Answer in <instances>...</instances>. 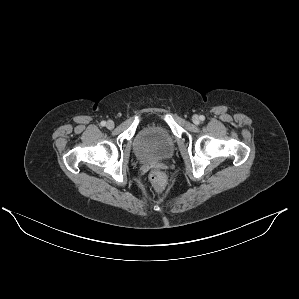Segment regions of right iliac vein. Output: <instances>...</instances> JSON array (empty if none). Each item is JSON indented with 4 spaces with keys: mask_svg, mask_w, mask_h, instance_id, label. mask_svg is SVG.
Listing matches in <instances>:
<instances>
[{
    "mask_svg": "<svg viewBox=\"0 0 299 299\" xmlns=\"http://www.w3.org/2000/svg\"><path fill=\"white\" fill-rule=\"evenodd\" d=\"M106 127L108 129H113L114 128V122L112 120H109L107 123H106Z\"/></svg>",
    "mask_w": 299,
    "mask_h": 299,
    "instance_id": "1",
    "label": "right iliac vein"
}]
</instances>
